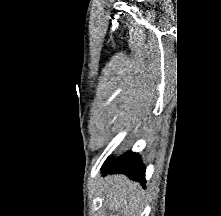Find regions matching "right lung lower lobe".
Listing matches in <instances>:
<instances>
[{"label":"right lung lower lobe","instance_id":"right-lung-lower-lobe-1","mask_svg":"<svg viewBox=\"0 0 221 216\" xmlns=\"http://www.w3.org/2000/svg\"><path fill=\"white\" fill-rule=\"evenodd\" d=\"M104 173H121L127 175L131 180L145 185V167L138 153L127 152L116 159L108 162L103 167Z\"/></svg>","mask_w":221,"mask_h":216}]
</instances>
